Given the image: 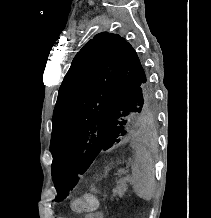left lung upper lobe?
Segmentation results:
<instances>
[{
	"mask_svg": "<svg viewBox=\"0 0 211 218\" xmlns=\"http://www.w3.org/2000/svg\"><path fill=\"white\" fill-rule=\"evenodd\" d=\"M147 74L133 47L118 34L94 36L75 56L53 113L50 151L56 201H62L104 150L154 122Z\"/></svg>",
	"mask_w": 211,
	"mask_h": 218,
	"instance_id": "5c2ea615",
	"label": "left lung upper lobe"
}]
</instances>
